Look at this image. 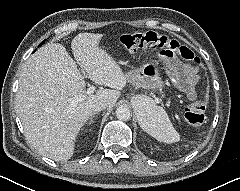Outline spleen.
I'll return each instance as SVG.
<instances>
[{"mask_svg":"<svg viewBox=\"0 0 240 191\" xmlns=\"http://www.w3.org/2000/svg\"><path fill=\"white\" fill-rule=\"evenodd\" d=\"M141 127L160 142L170 144L180 140L165 110L153 104L146 108Z\"/></svg>","mask_w":240,"mask_h":191,"instance_id":"1","label":"spleen"}]
</instances>
